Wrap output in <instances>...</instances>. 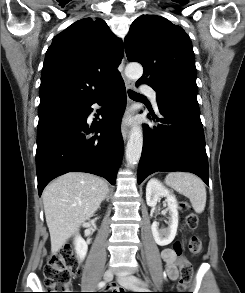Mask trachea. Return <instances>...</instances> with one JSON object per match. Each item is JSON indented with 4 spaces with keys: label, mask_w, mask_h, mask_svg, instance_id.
Instances as JSON below:
<instances>
[{
    "label": "trachea",
    "mask_w": 245,
    "mask_h": 293,
    "mask_svg": "<svg viewBox=\"0 0 245 293\" xmlns=\"http://www.w3.org/2000/svg\"><path fill=\"white\" fill-rule=\"evenodd\" d=\"M129 96H130L131 98H135V97H143L142 95H140V94H138V93H136V92H134V91H132V90L129 91Z\"/></svg>",
    "instance_id": "3493384b"
}]
</instances>
